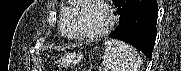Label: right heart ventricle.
<instances>
[{"mask_svg": "<svg viewBox=\"0 0 181 71\" xmlns=\"http://www.w3.org/2000/svg\"><path fill=\"white\" fill-rule=\"evenodd\" d=\"M77 7V4L75 2H68L67 5L63 8V13H62V21H61V32L70 39L72 38V30H71V20L73 13Z\"/></svg>", "mask_w": 181, "mask_h": 71, "instance_id": "e07e8e85", "label": "right heart ventricle"}]
</instances>
